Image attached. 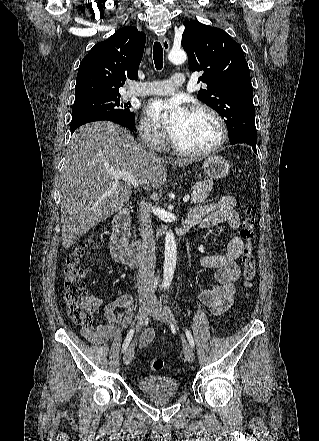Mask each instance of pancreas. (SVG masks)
I'll return each mask as SVG.
<instances>
[{
  "instance_id": "cf45deb5",
  "label": "pancreas",
  "mask_w": 319,
  "mask_h": 441,
  "mask_svg": "<svg viewBox=\"0 0 319 441\" xmlns=\"http://www.w3.org/2000/svg\"><path fill=\"white\" fill-rule=\"evenodd\" d=\"M213 183L211 180H204L196 182L193 185L195 193L191 196V203L197 204L204 202L209 196V192L212 190Z\"/></svg>"
}]
</instances>
